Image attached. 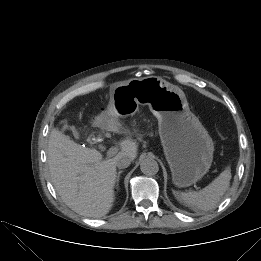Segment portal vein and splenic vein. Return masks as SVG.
I'll list each match as a JSON object with an SVG mask.
<instances>
[{
	"mask_svg": "<svg viewBox=\"0 0 261 261\" xmlns=\"http://www.w3.org/2000/svg\"><path fill=\"white\" fill-rule=\"evenodd\" d=\"M118 152V148L117 147H112L110 148L107 153H106V156L109 158V157H112L114 156L116 153Z\"/></svg>",
	"mask_w": 261,
	"mask_h": 261,
	"instance_id": "obj_1",
	"label": "portal vein and splenic vein"
}]
</instances>
